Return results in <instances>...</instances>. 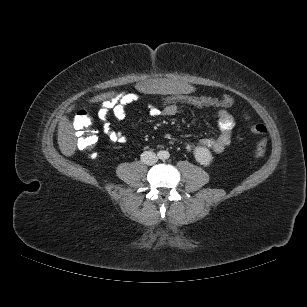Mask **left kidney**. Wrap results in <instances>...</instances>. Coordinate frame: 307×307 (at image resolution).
Segmentation results:
<instances>
[{
    "mask_svg": "<svg viewBox=\"0 0 307 307\" xmlns=\"http://www.w3.org/2000/svg\"><path fill=\"white\" fill-rule=\"evenodd\" d=\"M194 156L201 165L208 166L213 160L211 152L203 146H198L194 150Z\"/></svg>",
    "mask_w": 307,
    "mask_h": 307,
    "instance_id": "left-kidney-1",
    "label": "left kidney"
}]
</instances>
